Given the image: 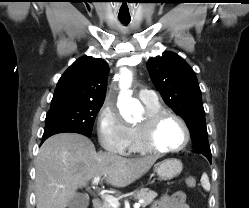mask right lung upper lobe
Instances as JSON below:
<instances>
[{"instance_id":"cb5924a9","label":"right lung upper lobe","mask_w":249,"mask_h":208,"mask_svg":"<svg viewBox=\"0 0 249 208\" xmlns=\"http://www.w3.org/2000/svg\"><path fill=\"white\" fill-rule=\"evenodd\" d=\"M108 71V64L103 59L90 56L77 59L59 79L51 106L104 102Z\"/></svg>"}]
</instances>
